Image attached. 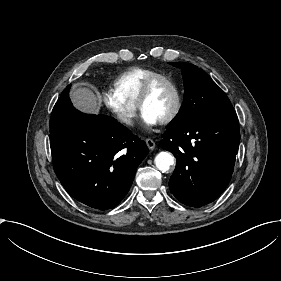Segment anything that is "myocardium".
Masks as SVG:
<instances>
[{"instance_id": "obj_1", "label": "myocardium", "mask_w": 281, "mask_h": 281, "mask_svg": "<svg viewBox=\"0 0 281 281\" xmlns=\"http://www.w3.org/2000/svg\"><path fill=\"white\" fill-rule=\"evenodd\" d=\"M162 83L168 84L172 88L174 95H175L174 106H173L170 114L163 121L160 122L161 125H168L177 118V116L179 115L181 108H182L181 89H180L179 85L177 84V82L174 79H172L171 77H169L167 75H157V76H154L151 79H149L147 81V83L145 84L144 88L142 89V92L137 101V106H138L139 110L142 112V106H143L144 102L150 97V95L152 94L154 89L159 84H162Z\"/></svg>"}]
</instances>
